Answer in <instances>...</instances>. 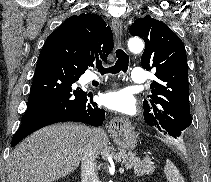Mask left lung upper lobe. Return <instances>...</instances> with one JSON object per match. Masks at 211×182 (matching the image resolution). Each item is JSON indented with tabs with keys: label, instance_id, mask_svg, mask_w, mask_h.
Here are the masks:
<instances>
[{
	"label": "left lung upper lobe",
	"instance_id": "left-lung-upper-lobe-1",
	"mask_svg": "<svg viewBox=\"0 0 211 182\" xmlns=\"http://www.w3.org/2000/svg\"><path fill=\"white\" fill-rule=\"evenodd\" d=\"M130 33L145 41L141 65L156 69L152 94L144 100V119L183 144L191 143L187 56L181 39L149 15L134 21Z\"/></svg>",
	"mask_w": 211,
	"mask_h": 182
}]
</instances>
